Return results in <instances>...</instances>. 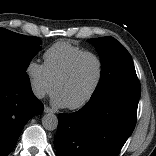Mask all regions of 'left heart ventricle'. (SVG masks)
I'll use <instances>...</instances> for the list:
<instances>
[{
	"label": "left heart ventricle",
	"instance_id": "left-heart-ventricle-1",
	"mask_svg": "<svg viewBox=\"0 0 156 156\" xmlns=\"http://www.w3.org/2000/svg\"><path fill=\"white\" fill-rule=\"evenodd\" d=\"M99 75V64L91 56L82 58L71 76L61 83L56 92L60 94L67 106L83 100L94 87Z\"/></svg>",
	"mask_w": 156,
	"mask_h": 156
}]
</instances>
